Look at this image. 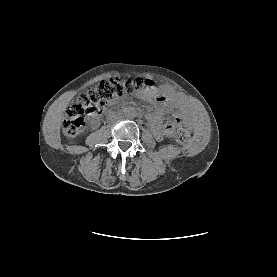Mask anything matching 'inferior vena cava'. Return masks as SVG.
<instances>
[{"label": "inferior vena cava", "mask_w": 277, "mask_h": 277, "mask_svg": "<svg viewBox=\"0 0 277 277\" xmlns=\"http://www.w3.org/2000/svg\"><path fill=\"white\" fill-rule=\"evenodd\" d=\"M122 117L121 112L119 111H112L108 114L107 120L109 122H115L116 120L120 119Z\"/></svg>", "instance_id": "1"}]
</instances>
